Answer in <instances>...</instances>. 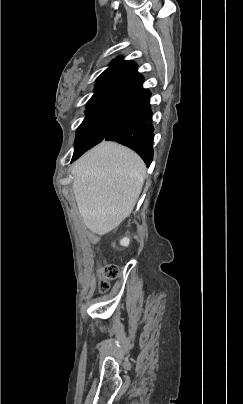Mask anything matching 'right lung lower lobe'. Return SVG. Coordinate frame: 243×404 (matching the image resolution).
Returning <instances> with one entry per match:
<instances>
[{"label":"right lung lower lobe","mask_w":243,"mask_h":404,"mask_svg":"<svg viewBox=\"0 0 243 404\" xmlns=\"http://www.w3.org/2000/svg\"><path fill=\"white\" fill-rule=\"evenodd\" d=\"M150 95L129 103L103 139L115 141L133 149L144 160L147 167L153 159L154 137L153 125L149 123L152 121Z\"/></svg>","instance_id":"1"}]
</instances>
